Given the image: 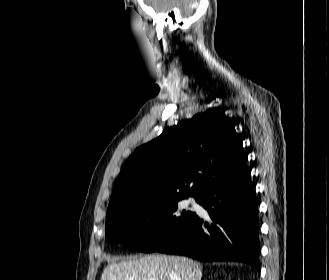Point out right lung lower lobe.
I'll return each mask as SVG.
<instances>
[{
    "instance_id": "1",
    "label": "right lung lower lobe",
    "mask_w": 329,
    "mask_h": 280,
    "mask_svg": "<svg viewBox=\"0 0 329 280\" xmlns=\"http://www.w3.org/2000/svg\"><path fill=\"white\" fill-rule=\"evenodd\" d=\"M197 202L211 221L195 214L175 238L156 251L208 262H246L260 271L258 208L246 162L209 185Z\"/></svg>"
}]
</instances>
